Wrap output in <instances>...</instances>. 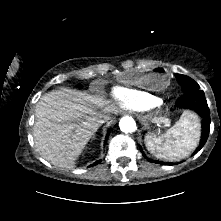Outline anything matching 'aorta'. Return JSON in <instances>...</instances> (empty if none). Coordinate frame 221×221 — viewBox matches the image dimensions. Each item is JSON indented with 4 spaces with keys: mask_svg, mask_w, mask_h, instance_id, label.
I'll return each instance as SVG.
<instances>
[{
    "mask_svg": "<svg viewBox=\"0 0 221 221\" xmlns=\"http://www.w3.org/2000/svg\"><path fill=\"white\" fill-rule=\"evenodd\" d=\"M120 130L124 133H133L136 131V122L130 116H124L119 121Z\"/></svg>",
    "mask_w": 221,
    "mask_h": 221,
    "instance_id": "1",
    "label": "aorta"
}]
</instances>
